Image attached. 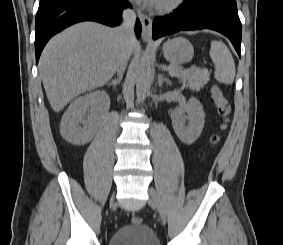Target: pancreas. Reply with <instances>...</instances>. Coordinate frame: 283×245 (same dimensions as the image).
<instances>
[{
	"label": "pancreas",
	"instance_id": "pancreas-1",
	"mask_svg": "<svg viewBox=\"0 0 283 245\" xmlns=\"http://www.w3.org/2000/svg\"><path fill=\"white\" fill-rule=\"evenodd\" d=\"M169 68L172 72L181 70V67L178 65H171ZM172 75L179 77L184 86L189 87L193 91H199L210 80V72L206 69H194L183 75Z\"/></svg>",
	"mask_w": 283,
	"mask_h": 245
}]
</instances>
